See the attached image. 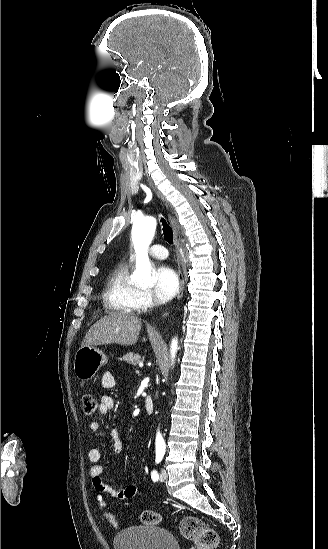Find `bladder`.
I'll return each instance as SVG.
<instances>
[{"label": "bladder", "mask_w": 328, "mask_h": 549, "mask_svg": "<svg viewBox=\"0 0 328 549\" xmlns=\"http://www.w3.org/2000/svg\"><path fill=\"white\" fill-rule=\"evenodd\" d=\"M116 549H177L172 533L153 526H137L114 537Z\"/></svg>", "instance_id": "bladder-1"}]
</instances>
